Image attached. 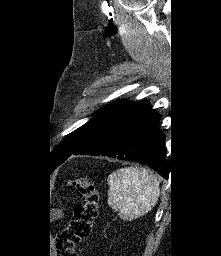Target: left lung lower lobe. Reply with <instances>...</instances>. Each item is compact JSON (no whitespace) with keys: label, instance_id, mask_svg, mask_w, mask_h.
Masks as SVG:
<instances>
[{"label":"left lung lower lobe","instance_id":"1","mask_svg":"<svg viewBox=\"0 0 221 256\" xmlns=\"http://www.w3.org/2000/svg\"><path fill=\"white\" fill-rule=\"evenodd\" d=\"M160 115L143 103L107 122L85 140L73 154L109 156L146 164L168 179L165 135L159 130Z\"/></svg>","mask_w":221,"mask_h":256}]
</instances>
